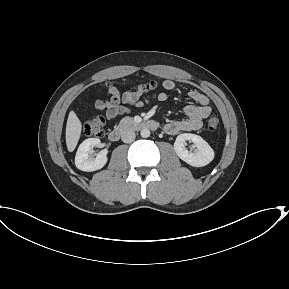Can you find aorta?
<instances>
[{"label": "aorta", "mask_w": 289, "mask_h": 289, "mask_svg": "<svg viewBox=\"0 0 289 289\" xmlns=\"http://www.w3.org/2000/svg\"><path fill=\"white\" fill-rule=\"evenodd\" d=\"M140 134L143 138H148L150 136V130L147 128H144L141 130Z\"/></svg>", "instance_id": "obj_1"}]
</instances>
